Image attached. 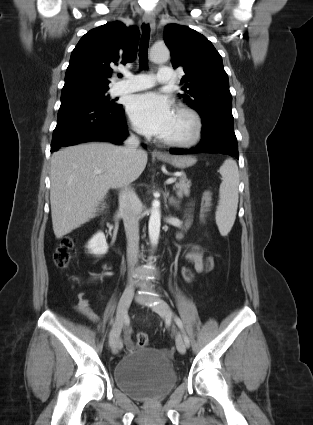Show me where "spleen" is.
Here are the masks:
<instances>
[{
    "mask_svg": "<svg viewBox=\"0 0 313 425\" xmlns=\"http://www.w3.org/2000/svg\"><path fill=\"white\" fill-rule=\"evenodd\" d=\"M219 172L222 183L215 218L220 234L226 236L235 222L238 207L239 171L236 161L231 158L226 159Z\"/></svg>",
    "mask_w": 313,
    "mask_h": 425,
    "instance_id": "3e777b00",
    "label": "spleen"
}]
</instances>
